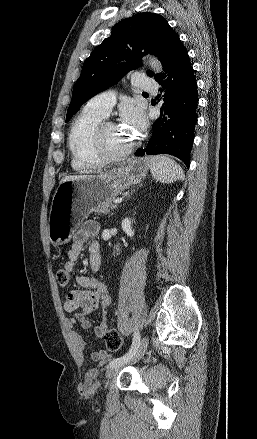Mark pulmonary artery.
<instances>
[{"label": "pulmonary artery", "instance_id": "e3ab8cb5", "mask_svg": "<svg viewBox=\"0 0 257 439\" xmlns=\"http://www.w3.org/2000/svg\"><path fill=\"white\" fill-rule=\"evenodd\" d=\"M132 84L142 93H156L158 85L156 81L143 73L132 76ZM116 102V95L113 91H104L91 98L85 108L107 116Z\"/></svg>", "mask_w": 257, "mask_h": 439}]
</instances>
